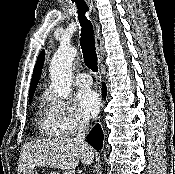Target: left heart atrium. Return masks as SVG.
Masks as SVG:
<instances>
[{
  "label": "left heart atrium",
  "instance_id": "left-heart-atrium-1",
  "mask_svg": "<svg viewBox=\"0 0 175 174\" xmlns=\"http://www.w3.org/2000/svg\"><path fill=\"white\" fill-rule=\"evenodd\" d=\"M76 100L83 118L93 119L99 112L100 98L97 92L84 89L77 93Z\"/></svg>",
  "mask_w": 175,
  "mask_h": 174
}]
</instances>
